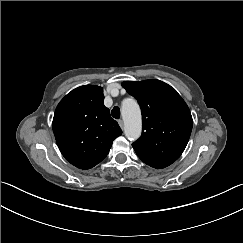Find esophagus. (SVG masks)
Segmentation results:
<instances>
[{"label": "esophagus", "mask_w": 243, "mask_h": 243, "mask_svg": "<svg viewBox=\"0 0 243 243\" xmlns=\"http://www.w3.org/2000/svg\"><path fill=\"white\" fill-rule=\"evenodd\" d=\"M118 123H119V126L121 127V128H123L124 127V123H123V121L120 119V120H118Z\"/></svg>", "instance_id": "esophagus-1"}]
</instances>
